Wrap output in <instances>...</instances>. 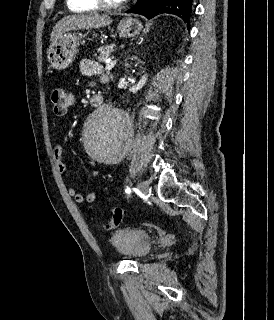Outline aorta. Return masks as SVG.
<instances>
[{"label": "aorta", "instance_id": "aorta-1", "mask_svg": "<svg viewBox=\"0 0 274 320\" xmlns=\"http://www.w3.org/2000/svg\"><path fill=\"white\" fill-rule=\"evenodd\" d=\"M120 99L95 110L85 123L83 146L98 162L119 161L130 150L133 126L129 115L121 108Z\"/></svg>", "mask_w": 274, "mask_h": 320}]
</instances>
